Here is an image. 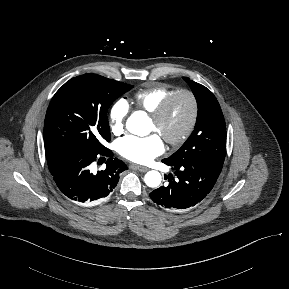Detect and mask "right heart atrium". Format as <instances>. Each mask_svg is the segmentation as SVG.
Wrapping results in <instances>:
<instances>
[{"label":"right heart atrium","mask_w":289,"mask_h":289,"mask_svg":"<svg viewBox=\"0 0 289 289\" xmlns=\"http://www.w3.org/2000/svg\"><path fill=\"white\" fill-rule=\"evenodd\" d=\"M130 111V105L127 100L120 98L116 100L109 109V123L112 133L119 135L124 130L125 119Z\"/></svg>","instance_id":"d8ad5b80"}]
</instances>
